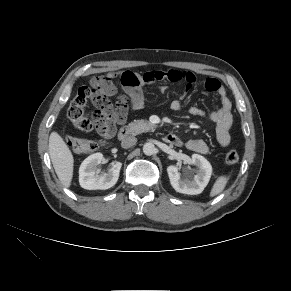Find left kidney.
<instances>
[{"label": "left kidney", "instance_id": "obj_1", "mask_svg": "<svg viewBox=\"0 0 291 291\" xmlns=\"http://www.w3.org/2000/svg\"><path fill=\"white\" fill-rule=\"evenodd\" d=\"M191 162L198 168L196 175L193 177L181 178L175 165L168 166L167 172L170 183L177 192L196 195L200 194L207 186L212 174V166L207 159L199 154H193Z\"/></svg>", "mask_w": 291, "mask_h": 291}]
</instances>
